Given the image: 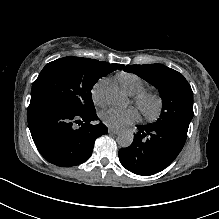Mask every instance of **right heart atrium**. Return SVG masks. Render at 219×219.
Masks as SVG:
<instances>
[{"instance_id": "obj_1", "label": "right heart atrium", "mask_w": 219, "mask_h": 219, "mask_svg": "<svg viewBox=\"0 0 219 219\" xmlns=\"http://www.w3.org/2000/svg\"><path fill=\"white\" fill-rule=\"evenodd\" d=\"M107 84L106 78H101L93 84L90 89V98L95 105L101 106L105 103V87Z\"/></svg>"}]
</instances>
